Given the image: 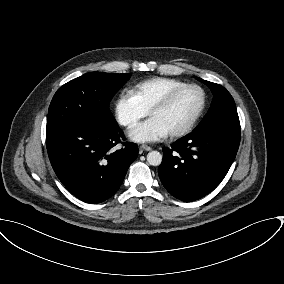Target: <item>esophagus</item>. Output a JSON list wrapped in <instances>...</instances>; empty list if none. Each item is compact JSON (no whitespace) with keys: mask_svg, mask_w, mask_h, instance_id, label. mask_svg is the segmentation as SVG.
I'll return each mask as SVG.
<instances>
[{"mask_svg":"<svg viewBox=\"0 0 284 284\" xmlns=\"http://www.w3.org/2000/svg\"><path fill=\"white\" fill-rule=\"evenodd\" d=\"M140 148L143 149V150H145V151H150V150H152V148H151L149 145H147V144L141 145Z\"/></svg>","mask_w":284,"mask_h":284,"instance_id":"obj_1","label":"esophagus"}]
</instances>
